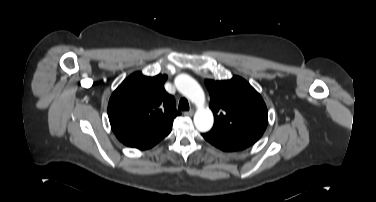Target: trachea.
Returning <instances> with one entry per match:
<instances>
[{
  "instance_id": "trachea-1",
  "label": "trachea",
  "mask_w": 376,
  "mask_h": 202,
  "mask_svg": "<svg viewBox=\"0 0 376 202\" xmlns=\"http://www.w3.org/2000/svg\"><path fill=\"white\" fill-rule=\"evenodd\" d=\"M178 108H179V110H182V111L189 110V103H188L187 99H185V98L180 99Z\"/></svg>"
}]
</instances>
